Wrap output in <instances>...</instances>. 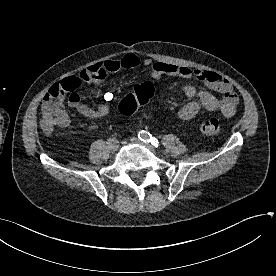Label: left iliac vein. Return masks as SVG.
Here are the masks:
<instances>
[{"mask_svg":"<svg viewBox=\"0 0 276 276\" xmlns=\"http://www.w3.org/2000/svg\"><path fill=\"white\" fill-rule=\"evenodd\" d=\"M130 141H131V143H134V144L143 145V146L147 147L151 152L155 153V150L152 146L145 144L144 142H142L141 140H139L136 137H132L130 139Z\"/></svg>","mask_w":276,"mask_h":276,"instance_id":"4c4485c4","label":"left iliac vein"}]
</instances>
